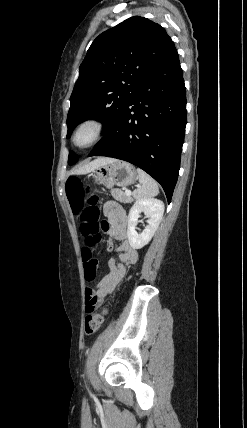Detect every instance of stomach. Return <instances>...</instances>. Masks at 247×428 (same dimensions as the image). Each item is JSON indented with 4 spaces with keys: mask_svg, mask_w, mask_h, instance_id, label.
Masks as SVG:
<instances>
[{
    "mask_svg": "<svg viewBox=\"0 0 247 428\" xmlns=\"http://www.w3.org/2000/svg\"><path fill=\"white\" fill-rule=\"evenodd\" d=\"M91 175L96 184L106 188H112L114 185L125 187L137 180L135 167L121 160L100 166L93 170Z\"/></svg>",
    "mask_w": 247,
    "mask_h": 428,
    "instance_id": "0dacf381",
    "label": "stomach"
}]
</instances>
